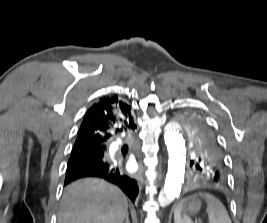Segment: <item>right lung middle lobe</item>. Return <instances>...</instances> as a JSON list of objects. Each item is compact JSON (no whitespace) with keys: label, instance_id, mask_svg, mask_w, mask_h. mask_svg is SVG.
<instances>
[{"label":"right lung middle lobe","instance_id":"dd1d6c3e","mask_svg":"<svg viewBox=\"0 0 267 223\" xmlns=\"http://www.w3.org/2000/svg\"><path fill=\"white\" fill-rule=\"evenodd\" d=\"M103 154L104 151L96 150L95 148L92 147H87V146L79 147L72 150L67 166L77 163L82 159L97 157Z\"/></svg>","mask_w":267,"mask_h":223}]
</instances>
